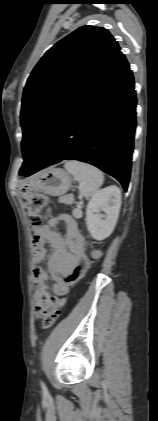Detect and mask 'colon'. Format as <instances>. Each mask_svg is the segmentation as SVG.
<instances>
[{
  "instance_id": "obj_1",
  "label": "colon",
  "mask_w": 158,
  "mask_h": 421,
  "mask_svg": "<svg viewBox=\"0 0 158 421\" xmlns=\"http://www.w3.org/2000/svg\"><path fill=\"white\" fill-rule=\"evenodd\" d=\"M49 203L48 198L43 194H33L31 195L27 201H26V213L28 216V220L32 229L33 234L35 237L40 232L44 219L47 214H49V211L44 212V210L47 208ZM101 255V251L98 249H95L92 251L91 256L94 259L99 258ZM64 304V301H60L58 306L49 308L45 310L41 314V326L44 329H48L54 325L56 320L58 319L60 315V307Z\"/></svg>"
}]
</instances>
